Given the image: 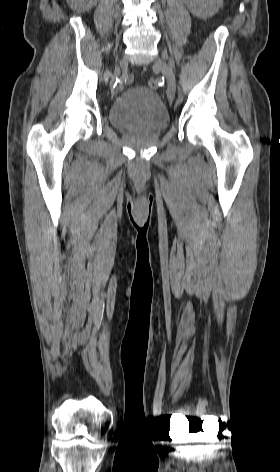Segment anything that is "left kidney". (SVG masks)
Instances as JSON below:
<instances>
[{
  "instance_id": "5707ae66",
  "label": "left kidney",
  "mask_w": 280,
  "mask_h": 472,
  "mask_svg": "<svg viewBox=\"0 0 280 472\" xmlns=\"http://www.w3.org/2000/svg\"><path fill=\"white\" fill-rule=\"evenodd\" d=\"M190 12L200 18L213 16L222 6V0H185Z\"/></svg>"
}]
</instances>
